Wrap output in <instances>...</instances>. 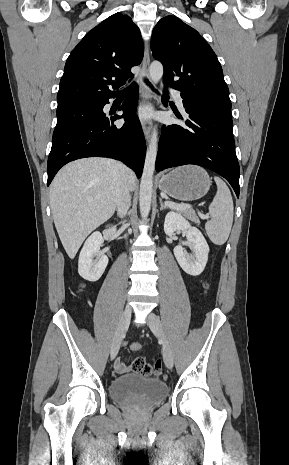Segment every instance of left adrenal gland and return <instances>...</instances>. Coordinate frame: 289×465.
Wrapping results in <instances>:
<instances>
[{
	"instance_id": "obj_1",
	"label": "left adrenal gland",
	"mask_w": 289,
	"mask_h": 465,
	"mask_svg": "<svg viewBox=\"0 0 289 465\" xmlns=\"http://www.w3.org/2000/svg\"><path fill=\"white\" fill-rule=\"evenodd\" d=\"M159 201H160V211L163 209H166L167 207L163 204V201L161 198L159 199Z\"/></svg>"
}]
</instances>
